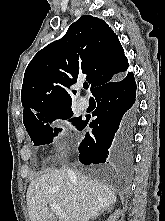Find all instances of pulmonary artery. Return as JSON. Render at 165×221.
<instances>
[{
  "mask_svg": "<svg viewBox=\"0 0 165 221\" xmlns=\"http://www.w3.org/2000/svg\"><path fill=\"white\" fill-rule=\"evenodd\" d=\"M77 104L81 110H86L89 107V100L87 98L81 97L78 99Z\"/></svg>",
  "mask_w": 165,
  "mask_h": 221,
  "instance_id": "1",
  "label": "pulmonary artery"
}]
</instances>
